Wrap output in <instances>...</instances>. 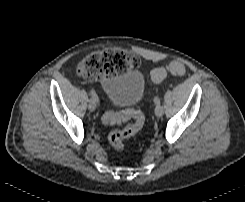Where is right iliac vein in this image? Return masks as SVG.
Listing matches in <instances>:
<instances>
[{"label": "right iliac vein", "mask_w": 245, "mask_h": 202, "mask_svg": "<svg viewBox=\"0 0 245 202\" xmlns=\"http://www.w3.org/2000/svg\"><path fill=\"white\" fill-rule=\"evenodd\" d=\"M88 108H89L90 111H94L96 109V103H95V101L93 99L89 100Z\"/></svg>", "instance_id": "obj_1"}]
</instances>
